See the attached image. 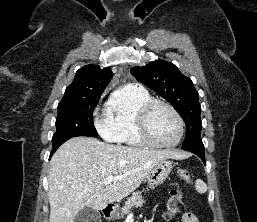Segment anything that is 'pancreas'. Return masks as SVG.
Returning a JSON list of instances; mask_svg holds the SVG:
<instances>
[{
    "label": "pancreas",
    "instance_id": "1",
    "mask_svg": "<svg viewBox=\"0 0 257 222\" xmlns=\"http://www.w3.org/2000/svg\"><path fill=\"white\" fill-rule=\"evenodd\" d=\"M145 203L144 198L140 191L132 193V196L127 198L124 207L122 208V213L127 214L131 211L132 207H140Z\"/></svg>",
    "mask_w": 257,
    "mask_h": 222
}]
</instances>
